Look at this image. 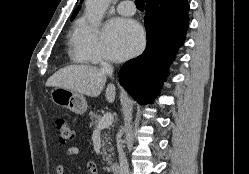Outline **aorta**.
<instances>
[{"instance_id": "762f6f07", "label": "aorta", "mask_w": 249, "mask_h": 174, "mask_svg": "<svg viewBox=\"0 0 249 174\" xmlns=\"http://www.w3.org/2000/svg\"><path fill=\"white\" fill-rule=\"evenodd\" d=\"M111 0H86L85 11L88 22L97 27L100 25L102 17L110 5Z\"/></svg>"}]
</instances>
